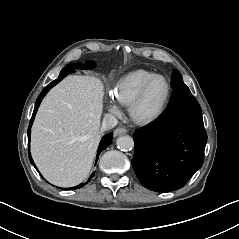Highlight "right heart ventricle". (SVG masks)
<instances>
[{
	"label": "right heart ventricle",
	"instance_id": "obj_1",
	"mask_svg": "<svg viewBox=\"0 0 239 239\" xmlns=\"http://www.w3.org/2000/svg\"><path fill=\"white\" fill-rule=\"evenodd\" d=\"M155 75L157 73L154 71L144 68L135 69L122 75L112 85V97L118 104L129 106L140 88Z\"/></svg>",
	"mask_w": 239,
	"mask_h": 239
}]
</instances>
